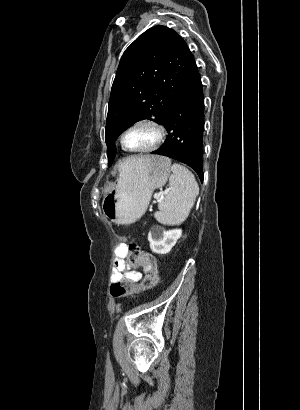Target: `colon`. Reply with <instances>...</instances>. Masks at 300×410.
I'll return each mask as SVG.
<instances>
[{
	"label": "colon",
	"mask_w": 300,
	"mask_h": 410,
	"mask_svg": "<svg viewBox=\"0 0 300 410\" xmlns=\"http://www.w3.org/2000/svg\"><path fill=\"white\" fill-rule=\"evenodd\" d=\"M127 252L129 262L141 266L145 275L139 284H135L129 279H120L114 282L110 288V293L115 298L125 297L139 291L150 290L159 282L157 261L154 255L143 250L135 243L127 246Z\"/></svg>",
	"instance_id": "5ec220e1"
}]
</instances>
